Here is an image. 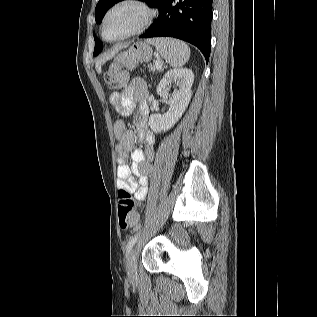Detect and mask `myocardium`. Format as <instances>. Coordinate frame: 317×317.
I'll list each match as a JSON object with an SVG mask.
<instances>
[{"label": "myocardium", "instance_id": "1", "mask_svg": "<svg viewBox=\"0 0 317 317\" xmlns=\"http://www.w3.org/2000/svg\"><path fill=\"white\" fill-rule=\"evenodd\" d=\"M135 6L139 8L143 12V19L137 25L134 29L130 30L129 32L125 33L124 35L114 38V39H108L105 36V24L107 22L108 17L118 8L122 6ZM155 17V11L154 9L144 0H119L116 3H114L109 9L105 12L103 19H102V24H101V35L102 38L107 41V42H118L125 40L127 38L133 37L135 35H138L145 31L148 26L151 24Z\"/></svg>", "mask_w": 317, "mask_h": 317}]
</instances>
